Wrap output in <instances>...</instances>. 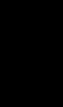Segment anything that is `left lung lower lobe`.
I'll return each mask as SVG.
<instances>
[{
	"label": "left lung lower lobe",
	"instance_id": "0a47b994",
	"mask_svg": "<svg viewBox=\"0 0 63 107\" xmlns=\"http://www.w3.org/2000/svg\"><path fill=\"white\" fill-rule=\"evenodd\" d=\"M63 29V22L59 23ZM54 46L47 51V64L51 70L63 74V30L53 36Z\"/></svg>",
	"mask_w": 63,
	"mask_h": 107
}]
</instances>
